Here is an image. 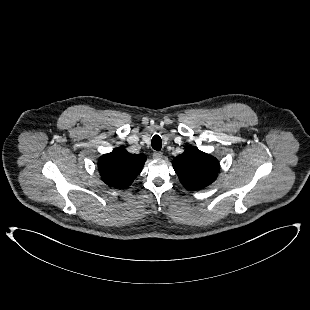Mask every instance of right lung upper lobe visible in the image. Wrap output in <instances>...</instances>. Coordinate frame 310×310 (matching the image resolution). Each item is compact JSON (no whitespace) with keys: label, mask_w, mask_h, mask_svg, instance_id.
I'll return each instance as SVG.
<instances>
[{"label":"right lung upper lobe","mask_w":310,"mask_h":310,"mask_svg":"<svg viewBox=\"0 0 310 310\" xmlns=\"http://www.w3.org/2000/svg\"><path fill=\"white\" fill-rule=\"evenodd\" d=\"M145 161L143 154H131L124 148H117L99 158L98 169L107 185L127 188L141 172Z\"/></svg>","instance_id":"right-lung-upper-lobe-1"}]
</instances>
